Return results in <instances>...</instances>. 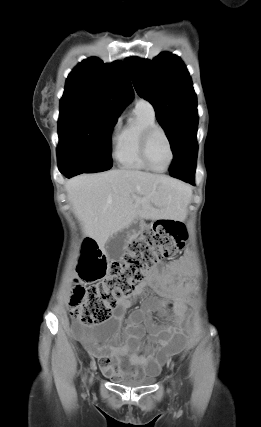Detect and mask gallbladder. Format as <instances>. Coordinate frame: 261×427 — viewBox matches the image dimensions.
Masks as SVG:
<instances>
[{
  "instance_id": "gallbladder-1",
  "label": "gallbladder",
  "mask_w": 261,
  "mask_h": 427,
  "mask_svg": "<svg viewBox=\"0 0 261 427\" xmlns=\"http://www.w3.org/2000/svg\"><path fill=\"white\" fill-rule=\"evenodd\" d=\"M107 255L110 259H120L124 254V243L120 235H114L105 244Z\"/></svg>"
}]
</instances>
